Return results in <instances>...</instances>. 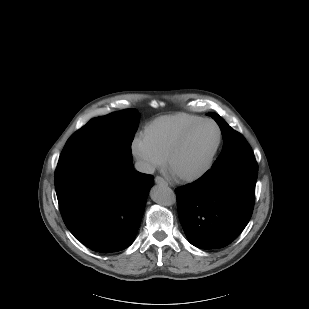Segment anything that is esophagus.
I'll return each instance as SVG.
<instances>
[{"label": "esophagus", "mask_w": 309, "mask_h": 309, "mask_svg": "<svg viewBox=\"0 0 309 309\" xmlns=\"http://www.w3.org/2000/svg\"><path fill=\"white\" fill-rule=\"evenodd\" d=\"M155 183L159 185H165V186L168 185V183L160 176L155 177Z\"/></svg>", "instance_id": "obj_1"}]
</instances>
